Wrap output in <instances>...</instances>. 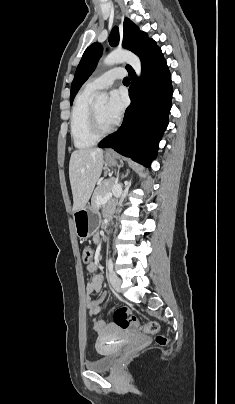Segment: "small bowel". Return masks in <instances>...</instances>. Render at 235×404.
<instances>
[{
    "instance_id": "c3829d8e",
    "label": "small bowel",
    "mask_w": 235,
    "mask_h": 404,
    "mask_svg": "<svg viewBox=\"0 0 235 404\" xmlns=\"http://www.w3.org/2000/svg\"><path fill=\"white\" fill-rule=\"evenodd\" d=\"M98 268V262H90L88 264V270L90 272L96 271ZM103 279L100 275L94 274L86 286V291L89 295L97 293L102 288ZM105 295L100 296L98 299L92 300L88 298L87 306L88 312L91 317H93L92 328L98 333L97 343L115 339L119 336V329L112 323H108L101 319L99 316L102 312V303L104 301Z\"/></svg>"
}]
</instances>
